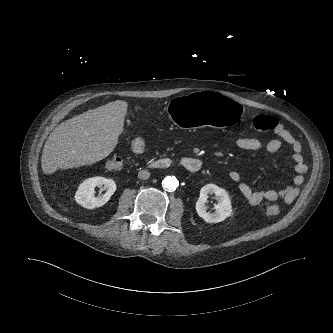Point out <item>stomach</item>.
<instances>
[{"instance_id": "0dacf381", "label": "stomach", "mask_w": 333, "mask_h": 333, "mask_svg": "<svg viewBox=\"0 0 333 333\" xmlns=\"http://www.w3.org/2000/svg\"><path fill=\"white\" fill-rule=\"evenodd\" d=\"M168 111L176 123L187 128L216 125L231 129L243 117L242 105L236 98L211 91L175 97L170 101Z\"/></svg>"}]
</instances>
